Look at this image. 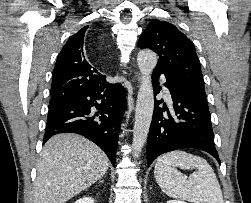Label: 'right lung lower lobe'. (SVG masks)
Instances as JSON below:
<instances>
[{"mask_svg":"<svg viewBox=\"0 0 251 203\" xmlns=\"http://www.w3.org/2000/svg\"><path fill=\"white\" fill-rule=\"evenodd\" d=\"M91 107L98 111L93 112ZM124 109L125 91L120 83L89 86L70 99L49 106L43 142L59 133H77L98 145L115 165Z\"/></svg>","mask_w":251,"mask_h":203,"instance_id":"98d812e1","label":"right lung lower lobe"}]
</instances>
